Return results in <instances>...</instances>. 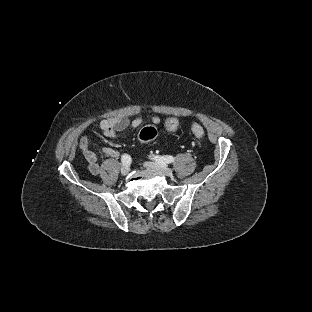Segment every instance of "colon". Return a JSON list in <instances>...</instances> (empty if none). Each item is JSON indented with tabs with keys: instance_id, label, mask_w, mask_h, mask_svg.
I'll return each instance as SVG.
<instances>
[{
	"instance_id": "5ec220e1",
	"label": "colon",
	"mask_w": 312,
	"mask_h": 312,
	"mask_svg": "<svg viewBox=\"0 0 312 312\" xmlns=\"http://www.w3.org/2000/svg\"><path fill=\"white\" fill-rule=\"evenodd\" d=\"M165 126L167 129L173 130L176 128L177 123L175 120L169 119L166 121ZM191 130L195 135H197L199 137H202V135L205 132L204 127L199 123L193 124L191 127ZM156 136H157V129L153 126L144 127L141 129V131L139 133V138L142 141L153 140Z\"/></svg>"
}]
</instances>
